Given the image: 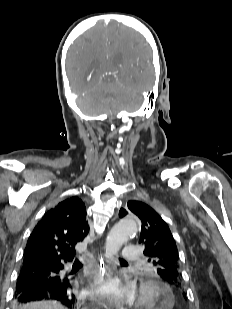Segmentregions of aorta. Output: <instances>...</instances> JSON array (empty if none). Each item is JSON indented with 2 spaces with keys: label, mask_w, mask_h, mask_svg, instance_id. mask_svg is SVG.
Segmentation results:
<instances>
[{
  "label": "aorta",
  "mask_w": 232,
  "mask_h": 309,
  "mask_svg": "<svg viewBox=\"0 0 232 309\" xmlns=\"http://www.w3.org/2000/svg\"><path fill=\"white\" fill-rule=\"evenodd\" d=\"M138 231L137 220L133 217L120 220L106 238L105 255L113 260L122 245Z\"/></svg>",
  "instance_id": "obj_1"
}]
</instances>
